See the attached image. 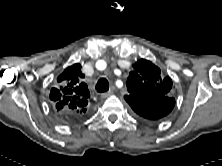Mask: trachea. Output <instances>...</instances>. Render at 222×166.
<instances>
[{
    "instance_id": "obj_1",
    "label": "trachea",
    "mask_w": 222,
    "mask_h": 166,
    "mask_svg": "<svg viewBox=\"0 0 222 166\" xmlns=\"http://www.w3.org/2000/svg\"><path fill=\"white\" fill-rule=\"evenodd\" d=\"M96 89L98 92L103 93L109 90V82L106 78H101L96 84Z\"/></svg>"
}]
</instances>
